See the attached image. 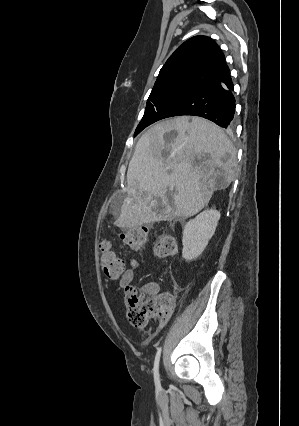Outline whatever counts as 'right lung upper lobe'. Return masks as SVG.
Masks as SVG:
<instances>
[{
    "label": "right lung upper lobe",
    "instance_id": "right-lung-upper-lobe-1",
    "mask_svg": "<svg viewBox=\"0 0 299 426\" xmlns=\"http://www.w3.org/2000/svg\"><path fill=\"white\" fill-rule=\"evenodd\" d=\"M229 72L224 54L207 36H195L185 41L169 57L160 70L155 86L187 83L200 86Z\"/></svg>",
    "mask_w": 299,
    "mask_h": 426
}]
</instances>
